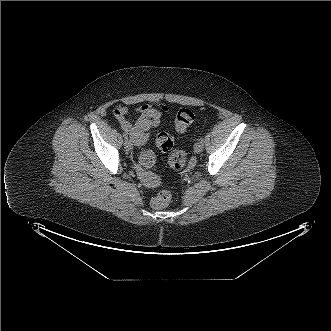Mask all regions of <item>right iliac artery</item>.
<instances>
[{
	"instance_id": "obj_1",
	"label": "right iliac artery",
	"mask_w": 331,
	"mask_h": 331,
	"mask_svg": "<svg viewBox=\"0 0 331 331\" xmlns=\"http://www.w3.org/2000/svg\"><path fill=\"white\" fill-rule=\"evenodd\" d=\"M123 137H124L125 139H128V136H127L126 133H123Z\"/></svg>"
}]
</instances>
